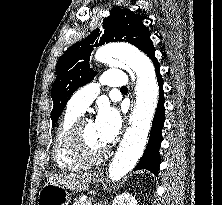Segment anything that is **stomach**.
<instances>
[{"mask_svg": "<svg viewBox=\"0 0 222 205\" xmlns=\"http://www.w3.org/2000/svg\"><path fill=\"white\" fill-rule=\"evenodd\" d=\"M94 182L100 180L98 175H93ZM70 197L67 190L58 184L47 183L43 186L38 196V205H68Z\"/></svg>", "mask_w": 222, "mask_h": 205, "instance_id": "stomach-1", "label": "stomach"}]
</instances>
